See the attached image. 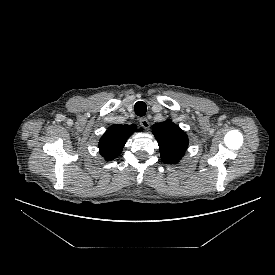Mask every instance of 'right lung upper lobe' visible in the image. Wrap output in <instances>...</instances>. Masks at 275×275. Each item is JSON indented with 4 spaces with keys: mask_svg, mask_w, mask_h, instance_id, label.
I'll return each mask as SVG.
<instances>
[{
    "mask_svg": "<svg viewBox=\"0 0 275 275\" xmlns=\"http://www.w3.org/2000/svg\"><path fill=\"white\" fill-rule=\"evenodd\" d=\"M136 131V125L115 124L109 127L99 142L100 154L106 160L120 155L127 139ZM140 131V130H138Z\"/></svg>",
    "mask_w": 275,
    "mask_h": 275,
    "instance_id": "right-lung-upper-lobe-1",
    "label": "right lung upper lobe"
}]
</instances>
